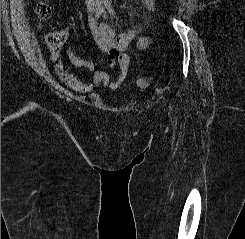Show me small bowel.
Wrapping results in <instances>:
<instances>
[{
  "mask_svg": "<svg viewBox=\"0 0 245 239\" xmlns=\"http://www.w3.org/2000/svg\"><path fill=\"white\" fill-rule=\"evenodd\" d=\"M144 3L147 8L154 9L155 0H144ZM90 29L94 43L101 52L107 55V66L109 68L118 66L116 77L111 79L107 72L96 71L91 82L81 80L73 72L65 68L63 57L59 51L52 52L50 55V60L55 63L54 70L59 79L76 92H92L101 86L116 90L123 84L128 74L130 59L126 54V50L136 34V29L117 33L115 29L107 24L96 23L92 17L90 18ZM58 34L61 36L62 41H64L66 33L60 32ZM147 45L148 40L146 38L138 41L140 48H145ZM66 56L71 65L76 68L89 71H94L95 69V65L91 60L81 58L71 48L66 50Z\"/></svg>",
  "mask_w": 245,
  "mask_h": 239,
  "instance_id": "1",
  "label": "small bowel"
}]
</instances>
